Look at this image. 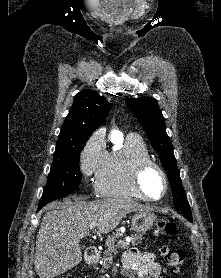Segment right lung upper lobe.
Here are the masks:
<instances>
[{
    "label": "right lung upper lobe",
    "instance_id": "cb5924a9",
    "mask_svg": "<svg viewBox=\"0 0 221 278\" xmlns=\"http://www.w3.org/2000/svg\"><path fill=\"white\" fill-rule=\"evenodd\" d=\"M109 109V102L95 91L85 89L79 92L62 125L56 149L86 142L105 121Z\"/></svg>",
    "mask_w": 221,
    "mask_h": 278
}]
</instances>
